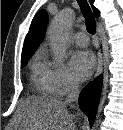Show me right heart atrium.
I'll use <instances>...</instances> for the list:
<instances>
[{
    "mask_svg": "<svg viewBox=\"0 0 123 130\" xmlns=\"http://www.w3.org/2000/svg\"><path fill=\"white\" fill-rule=\"evenodd\" d=\"M46 75L54 96H65L78 87L77 81L63 61L46 60Z\"/></svg>",
    "mask_w": 123,
    "mask_h": 130,
    "instance_id": "1",
    "label": "right heart atrium"
}]
</instances>
